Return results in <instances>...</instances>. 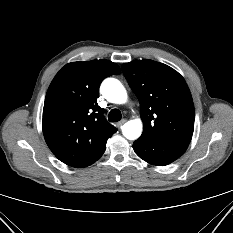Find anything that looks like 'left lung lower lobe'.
<instances>
[{
    "label": "left lung lower lobe",
    "instance_id": "left-lung-lower-lobe-1",
    "mask_svg": "<svg viewBox=\"0 0 233 233\" xmlns=\"http://www.w3.org/2000/svg\"><path fill=\"white\" fill-rule=\"evenodd\" d=\"M185 144H171L139 138L133 144L135 153L152 165L164 166L178 159L187 149Z\"/></svg>",
    "mask_w": 233,
    "mask_h": 233
}]
</instances>
